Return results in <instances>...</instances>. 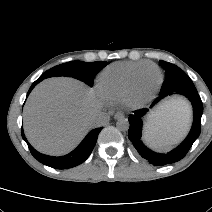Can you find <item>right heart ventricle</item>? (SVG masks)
<instances>
[{"instance_id":"obj_1","label":"right heart ventricle","mask_w":212,"mask_h":212,"mask_svg":"<svg viewBox=\"0 0 212 212\" xmlns=\"http://www.w3.org/2000/svg\"><path fill=\"white\" fill-rule=\"evenodd\" d=\"M152 64L147 61L111 64L98 76L97 85L100 94L110 103L124 102L134 74L140 68Z\"/></svg>"}]
</instances>
